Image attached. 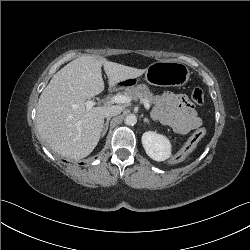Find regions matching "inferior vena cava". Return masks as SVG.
I'll return each mask as SVG.
<instances>
[{
    "label": "inferior vena cava",
    "mask_w": 250,
    "mask_h": 250,
    "mask_svg": "<svg viewBox=\"0 0 250 250\" xmlns=\"http://www.w3.org/2000/svg\"><path fill=\"white\" fill-rule=\"evenodd\" d=\"M122 111V107L120 106H109L105 112V117L109 118L112 116L119 115Z\"/></svg>",
    "instance_id": "602c4592"
}]
</instances>
